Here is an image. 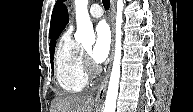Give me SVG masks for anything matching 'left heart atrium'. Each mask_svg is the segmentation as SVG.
<instances>
[{"instance_id": "39dd6f15", "label": "left heart atrium", "mask_w": 193, "mask_h": 112, "mask_svg": "<svg viewBox=\"0 0 193 112\" xmlns=\"http://www.w3.org/2000/svg\"><path fill=\"white\" fill-rule=\"evenodd\" d=\"M111 34L105 22H100L96 27V41L91 51V57L97 64L103 63L109 54Z\"/></svg>"}]
</instances>
